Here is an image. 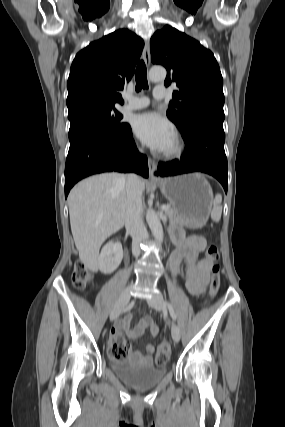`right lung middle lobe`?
<instances>
[{
	"mask_svg": "<svg viewBox=\"0 0 285 427\" xmlns=\"http://www.w3.org/2000/svg\"><path fill=\"white\" fill-rule=\"evenodd\" d=\"M70 120L69 140L83 130L97 128L118 135L127 130L129 124L114 106H90L68 115Z\"/></svg>",
	"mask_w": 285,
	"mask_h": 427,
	"instance_id": "right-lung-middle-lobe-1",
	"label": "right lung middle lobe"
}]
</instances>
